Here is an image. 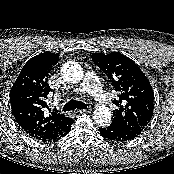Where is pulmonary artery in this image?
<instances>
[{
  "instance_id": "pulmonary-artery-1",
  "label": "pulmonary artery",
  "mask_w": 174,
  "mask_h": 174,
  "mask_svg": "<svg viewBox=\"0 0 174 174\" xmlns=\"http://www.w3.org/2000/svg\"><path fill=\"white\" fill-rule=\"evenodd\" d=\"M75 92H88L99 103L104 105L110 104L108 94L103 90L98 77L93 72L85 74L82 84L76 88Z\"/></svg>"
}]
</instances>
